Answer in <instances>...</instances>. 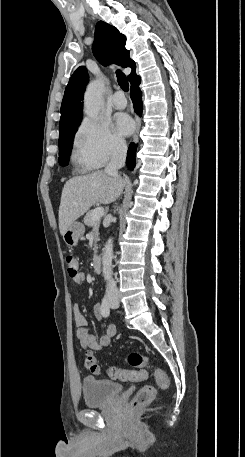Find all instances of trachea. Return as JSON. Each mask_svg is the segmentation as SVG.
<instances>
[{
    "mask_svg": "<svg viewBox=\"0 0 245 457\" xmlns=\"http://www.w3.org/2000/svg\"><path fill=\"white\" fill-rule=\"evenodd\" d=\"M117 81L119 86L124 90L125 92H128L129 90V84L126 76L124 73L120 72V70L117 71Z\"/></svg>",
    "mask_w": 245,
    "mask_h": 457,
    "instance_id": "trachea-1",
    "label": "trachea"
}]
</instances>
